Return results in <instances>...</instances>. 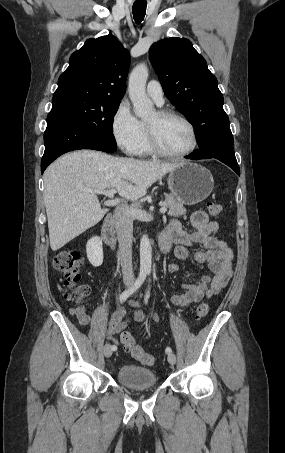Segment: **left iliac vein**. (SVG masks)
I'll return each instance as SVG.
<instances>
[{"instance_id": "left-iliac-vein-1", "label": "left iliac vein", "mask_w": 285, "mask_h": 453, "mask_svg": "<svg viewBox=\"0 0 285 453\" xmlns=\"http://www.w3.org/2000/svg\"><path fill=\"white\" fill-rule=\"evenodd\" d=\"M167 360L171 365H174L176 363L175 354H173V353L168 354Z\"/></svg>"}]
</instances>
